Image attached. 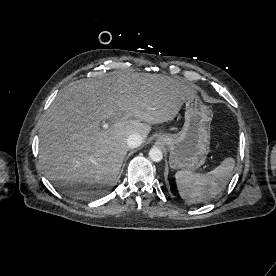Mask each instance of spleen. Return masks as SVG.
Listing matches in <instances>:
<instances>
[{
	"label": "spleen",
	"mask_w": 276,
	"mask_h": 276,
	"mask_svg": "<svg viewBox=\"0 0 276 276\" xmlns=\"http://www.w3.org/2000/svg\"><path fill=\"white\" fill-rule=\"evenodd\" d=\"M235 160L231 157L224 159L215 169L206 174L178 171L175 179L180 196L191 202H202L214 198L228 184Z\"/></svg>",
	"instance_id": "spleen-1"
}]
</instances>
